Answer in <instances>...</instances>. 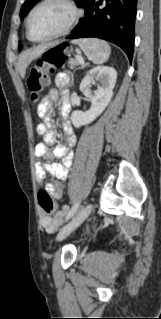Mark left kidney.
<instances>
[{
    "mask_svg": "<svg viewBox=\"0 0 161 319\" xmlns=\"http://www.w3.org/2000/svg\"><path fill=\"white\" fill-rule=\"evenodd\" d=\"M117 79V72L113 67L98 66L92 68L80 84V91L91 101L88 111H73L71 121L79 128L94 121L108 106L113 96V89ZM99 82L96 90L92 85Z\"/></svg>",
    "mask_w": 161,
    "mask_h": 319,
    "instance_id": "obj_1",
    "label": "left kidney"
}]
</instances>
